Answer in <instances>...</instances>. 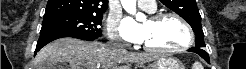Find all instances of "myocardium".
<instances>
[{
	"label": "myocardium",
	"mask_w": 246,
	"mask_h": 69,
	"mask_svg": "<svg viewBox=\"0 0 246 69\" xmlns=\"http://www.w3.org/2000/svg\"><path fill=\"white\" fill-rule=\"evenodd\" d=\"M167 18L175 19L182 25V27L184 28V30L186 32V36H187L186 42L183 43L182 45L176 47V48H170V49L155 48V47H151L145 43H143V46L148 50H151V51L159 53V54H164V55L178 53V52L185 51V50L189 49L194 42V36H193V32H192L190 25L181 16H179L176 13H167V12L158 13V14L152 15L150 17V21L156 22V21L167 19Z\"/></svg>",
	"instance_id": "myocardium-1"
}]
</instances>
